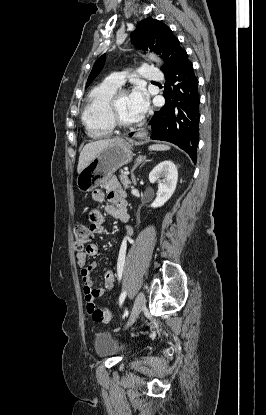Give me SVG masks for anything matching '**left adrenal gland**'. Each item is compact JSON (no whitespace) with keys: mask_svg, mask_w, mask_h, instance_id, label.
I'll return each instance as SVG.
<instances>
[{"mask_svg":"<svg viewBox=\"0 0 266 415\" xmlns=\"http://www.w3.org/2000/svg\"><path fill=\"white\" fill-rule=\"evenodd\" d=\"M146 161V157L145 156H139L137 159H136V162H135V165H134V167H133V169H132V171H131V175H132V181H133V183L134 184H136V179H135V176H134V174H133V172H134V170L142 163V162H145Z\"/></svg>","mask_w":266,"mask_h":415,"instance_id":"obj_1","label":"left adrenal gland"}]
</instances>
